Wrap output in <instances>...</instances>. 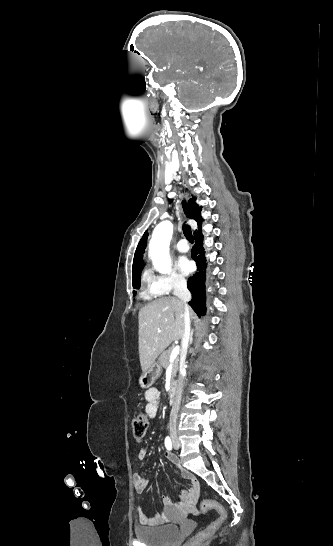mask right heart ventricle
<instances>
[{
	"label": "right heart ventricle",
	"mask_w": 333,
	"mask_h": 546,
	"mask_svg": "<svg viewBox=\"0 0 333 546\" xmlns=\"http://www.w3.org/2000/svg\"><path fill=\"white\" fill-rule=\"evenodd\" d=\"M141 296L145 300H151L156 296L151 288V279H150L149 271H145L143 274V289H142Z\"/></svg>",
	"instance_id": "right-heart-ventricle-1"
}]
</instances>
